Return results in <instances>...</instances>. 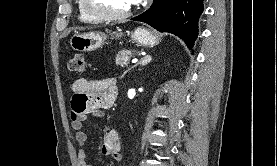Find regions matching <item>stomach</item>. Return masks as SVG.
I'll return each instance as SVG.
<instances>
[{
  "instance_id": "0dacf381",
  "label": "stomach",
  "mask_w": 277,
  "mask_h": 166,
  "mask_svg": "<svg viewBox=\"0 0 277 166\" xmlns=\"http://www.w3.org/2000/svg\"><path fill=\"white\" fill-rule=\"evenodd\" d=\"M116 36L121 37L122 33ZM107 38V34L99 31L76 33L70 39V46L76 51H93L101 47ZM131 38L135 43L145 47H153L159 42L158 37L154 33L143 27L136 28L131 33Z\"/></svg>"
}]
</instances>
